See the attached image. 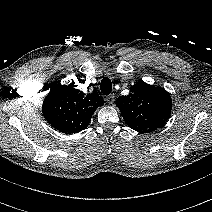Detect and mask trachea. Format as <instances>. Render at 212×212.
I'll return each instance as SVG.
<instances>
[{
	"mask_svg": "<svg viewBox=\"0 0 212 212\" xmlns=\"http://www.w3.org/2000/svg\"><path fill=\"white\" fill-rule=\"evenodd\" d=\"M101 92L104 95H109L112 91V82L108 77H105L101 80L100 84Z\"/></svg>",
	"mask_w": 212,
	"mask_h": 212,
	"instance_id": "3493384b",
	"label": "trachea"
}]
</instances>
